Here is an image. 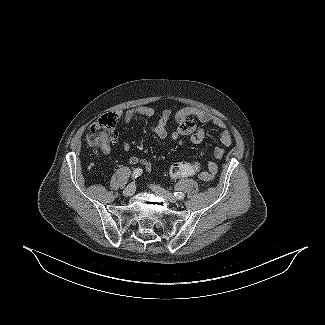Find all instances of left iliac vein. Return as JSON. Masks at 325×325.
<instances>
[{
  "mask_svg": "<svg viewBox=\"0 0 325 325\" xmlns=\"http://www.w3.org/2000/svg\"><path fill=\"white\" fill-rule=\"evenodd\" d=\"M151 189L156 194L166 198L168 201L175 203L177 201V198L171 194L170 192L166 191L165 189L161 188L158 185H151Z\"/></svg>",
  "mask_w": 325,
  "mask_h": 325,
  "instance_id": "4c4485c4",
  "label": "left iliac vein"
}]
</instances>
